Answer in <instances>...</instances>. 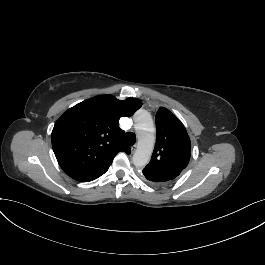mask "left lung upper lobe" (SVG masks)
Wrapping results in <instances>:
<instances>
[{"label":"left lung upper lobe","mask_w":265,"mask_h":265,"mask_svg":"<svg viewBox=\"0 0 265 265\" xmlns=\"http://www.w3.org/2000/svg\"><path fill=\"white\" fill-rule=\"evenodd\" d=\"M155 120L156 145L149 164L142 172L149 182L165 185L187 167L191 142L182 122L168 109L160 107Z\"/></svg>","instance_id":"1"}]
</instances>
